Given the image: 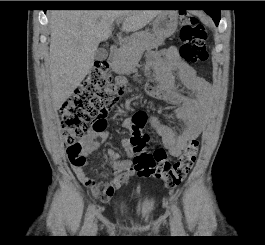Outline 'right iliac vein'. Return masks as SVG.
Masks as SVG:
<instances>
[{
  "label": "right iliac vein",
  "mask_w": 265,
  "mask_h": 245,
  "mask_svg": "<svg viewBox=\"0 0 265 245\" xmlns=\"http://www.w3.org/2000/svg\"><path fill=\"white\" fill-rule=\"evenodd\" d=\"M96 228H97L96 223H94V224L92 225V228L90 229L89 233H90V234H95V232H96Z\"/></svg>",
  "instance_id": "obj_1"
}]
</instances>
